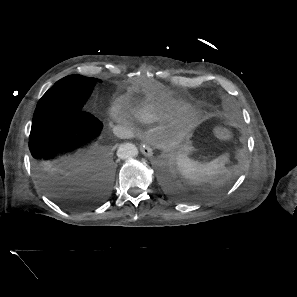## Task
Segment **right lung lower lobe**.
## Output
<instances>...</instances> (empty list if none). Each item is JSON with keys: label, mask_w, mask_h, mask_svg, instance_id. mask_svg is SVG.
Segmentation results:
<instances>
[{"label": "right lung lower lobe", "mask_w": 297, "mask_h": 297, "mask_svg": "<svg viewBox=\"0 0 297 297\" xmlns=\"http://www.w3.org/2000/svg\"><path fill=\"white\" fill-rule=\"evenodd\" d=\"M103 124L80 107L72 106L56 110L46 119L32 123L29 149L33 158V169L44 188L55 197H65L64 186L71 181L69 172L79 167L82 149L92 145L99 137ZM90 175L84 177L88 183L91 174L99 173L109 182L112 162L107 149L97 146L93 151ZM87 168V167H86ZM104 191V190H103ZM105 192L91 200L72 204L74 208L92 207L104 200Z\"/></svg>", "instance_id": "98d812e1"}]
</instances>
